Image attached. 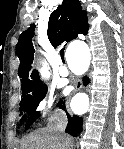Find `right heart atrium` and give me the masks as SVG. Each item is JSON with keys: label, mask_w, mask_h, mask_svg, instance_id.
<instances>
[{"label": "right heart atrium", "mask_w": 124, "mask_h": 149, "mask_svg": "<svg viewBox=\"0 0 124 149\" xmlns=\"http://www.w3.org/2000/svg\"><path fill=\"white\" fill-rule=\"evenodd\" d=\"M54 102L52 98L46 97L42 99L36 108L38 118L45 119L54 112Z\"/></svg>", "instance_id": "right-heart-atrium-1"}]
</instances>
